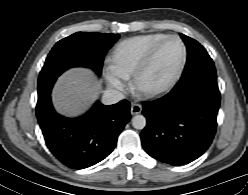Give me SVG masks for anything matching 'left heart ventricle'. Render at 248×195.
I'll return each instance as SVG.
<instances>
[{
    "label": "left heart ventricle",
    "mask_w": 248,
    "mask_h": 195,
    "mask_svg": "<svg viewBox=\"0 0 248 195\" xmlns=\"http://www.w3.org/2000/svg\"><path fill=\"white\" fill-rule=\"evenodd\" d=\"M183 56V47L179 40L168 41L160 50L152 69L143 80L146 88H156L165 84L176 73Z\"/></svg>",
    "instance_id": "left-heart-ventricle-1"
}]
</instances>
